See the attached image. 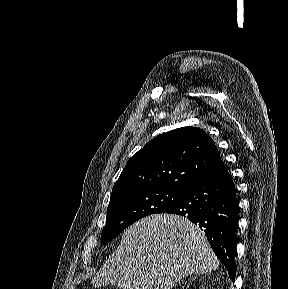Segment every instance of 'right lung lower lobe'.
Wrapping results in <instances>:
<instances>
[{"instance_id":"1","label":"right lung lower lobe","mask_w":288,"mask_h":289,"mask_svg":"<svg viewBox=\"0 0 288 289\" xmlns=\"http://www.w3.org/2000/svg\"><path fill=\"white\" fill-rule=\"evenodd\" d=\"M166 213L185 216L199 224L234 280L238 201L234 182L222 161L194 180Z\"/></svg>"}]
</instances>
